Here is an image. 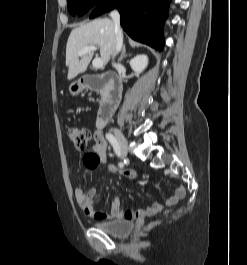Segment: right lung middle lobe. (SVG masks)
Wrapping results in <instances>:
<instances>
[{
  "label": "right lung middle lobe",
  "mask_w": 247,
  "mask_h": 265,
  "mask_svg": "<svg viewBox=\"0 0 247 265\" xmlns=\"http://www.w3.org/2000/svg\"><path fill=\"white\" fill-rule=\"evenodd\" d=\"M106 1L108 0H67V6L73 16H82L93 6L103 4Z\"/></svg>",
  "instance_id": "right-lung-middle-lobe-1"
}]
</instances>
